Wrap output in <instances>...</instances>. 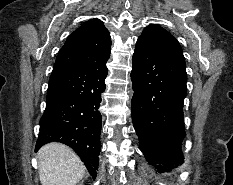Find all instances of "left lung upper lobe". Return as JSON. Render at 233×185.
Instances as JSON below:
<instances>
[{
    "label": "left lung upper lobe",
    "mask_w": 233,
    "mask_h": 185,
    "mask_svg": "<svg viewBox=\"0 0 233 185\" xmlns=\"http://www.w3.org/2000/svg\"><path fill=\"white\" fill-rule=\"evenodd\" d=\"M161 50L184 58L179 42L168 31L158 25H149L139 37Z\"/></svg>",
    "instance_id": "5c2ea615"
}]
</instances>
